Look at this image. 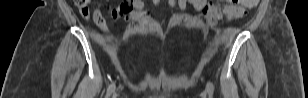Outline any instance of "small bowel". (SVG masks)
Listing matches in <instances>:
<instances>
[{
  "label": "small bowel",
  "instance_id": "1",
  "mask_svg": "<svg viewBox=\"0 0 308 98\" xmlns=\"http://www.w3.org/2000/svg\"><path fill=\"white\" fill-rule=\"evenodd\" d=\"M159 0H153L152 4L154 6L158 5ZM124 6L129 8V11L131 9H143L144 8V2L142 0H132V1H125L123 3ZM170 7L175 10L176 12H182L185 10L187 5H191L194 9L200 10L206 5L205 0H169ZM254 7V6H253ZM252 8V7H249ZM115 18L120 17L116 16L115 13L113 14ZM93 20L95 24L98 26V28L103 32H108V26L106 24V20L103 17L101 11L99 8H95L92 13ZM137 17V16H135ZM135 22H141L135 20Z\"/></svg>",
  "mask_w": 308,
  "mask_h": 98
}]
</instances>
